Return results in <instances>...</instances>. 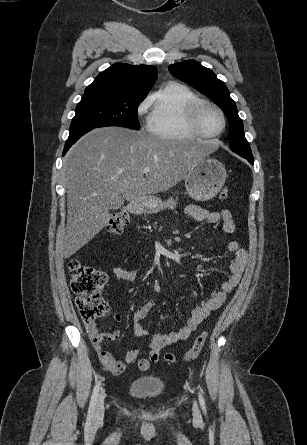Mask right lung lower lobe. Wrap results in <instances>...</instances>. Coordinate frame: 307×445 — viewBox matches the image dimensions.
<instances>
[{
    "label": "right lung lower lobe",
    "instance_id": "obj_1",
    "mask_svg": "<svg viewBox=\"0 0 307 445\" xmlns=\"http://www.w3.org/2000/svg\"><path fill=\"white\" fill-rule=\"evenodd\" d=\"M92 129L89 130H85L83 132L77 133L75 135H69L68 140L66 141L65 147H64V151H63V156L66 154V152L69 150V148L80 138L82 137L84 134H86L87 132L91 131Z\"/></svg>",
    "mask_w": 307,
    "mask_h": 445
}]
</instances>
